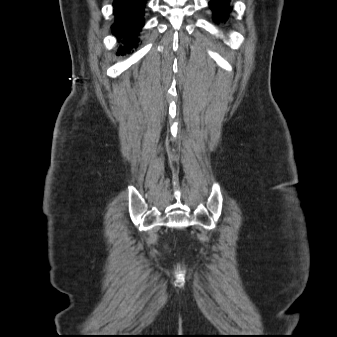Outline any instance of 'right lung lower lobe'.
<instances>
[{
    "label": "right lung lower lobe",
    "mask_w": 337,
    "mask_h": 337,
    "mask_svg": "<svg viewBox=\"0 0 337 337\" xmlns=\"http://www.w3.org/2000/svg\"><path fill=\"white\" fill-rule=\"evenodd\" d=\"M145 4L146 0L114 1L116 20L112 30L117 39L123 43V46L118 50L119 54L129 53L133 47H137L139 40L136 39V36L144 25Z\"/></svg>",
    "instance_id": "1"
}]
</instances>
